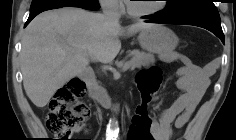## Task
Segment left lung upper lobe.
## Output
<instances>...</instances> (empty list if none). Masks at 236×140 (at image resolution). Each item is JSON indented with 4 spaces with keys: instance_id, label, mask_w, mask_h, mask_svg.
<instances>
[{
    "instance_id": "5c2ea615",
    "label": "left lung upper lobe",
    "mask_w": 236,
    "mask_h": 140,
    "mask_svg": "<svg viewBox=\"0 0 236 140\" xmlns=\"http://www.w3.org/2000/svg\"><path fill=\"white\" fill-rule=\"evenodd\" d=\"M157 14L171 19H199L221 23L213 0H168L166 9Z\"/></svg>"
}]
</instances>
